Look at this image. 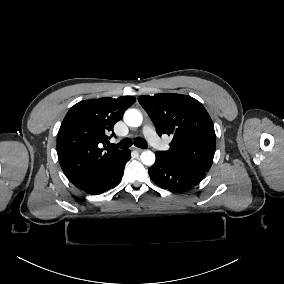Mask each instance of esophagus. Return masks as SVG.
<instances>
[{
	"instance_id": "obj_1",
	"label": "esophagus",
	"mask_w": 284,
	"mask_h": 284,
	"mask_svg": "<svg viewBox=\"0 0 284 284\" xmlns=\"http://www.w3.org/2000/svg\"><path fill=\"white\" fill-rule=\"evenodd\" d=\"M132 149H133V150H136V151H138V152H142V151H143V149H140V148H138V147H136V146H132Z\"/></svg>"
}]
</instances>
